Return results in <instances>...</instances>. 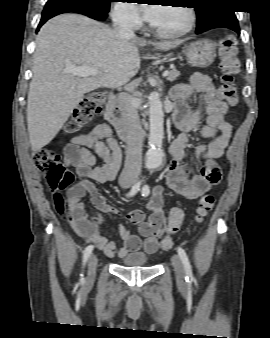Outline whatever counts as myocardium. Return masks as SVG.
I'll return each instance as SVG.
<instances>
[{"mask_svg":"<svg viewBox=\"0 0 270 338\" xmlns=\"http://www.w3.org/2000/svg\"><path fill=\"white\" fill-rule=\"evenodd\" d=\"M182 8H184L188 13V22L184 28L177 30V31H173V32H166V31H162V30L155 28V26L151 23L150 28L152 32L161 38H179V37L187 35L193 29L195 25L196 14H195L194 9L187 4H185Z\"/></svg>","mask_w":270,"mask_h":338,"instance_id":"obj_1","label":"myocardium"}]
</instances>
